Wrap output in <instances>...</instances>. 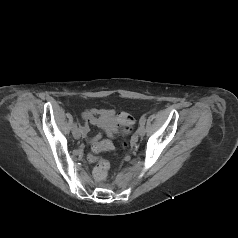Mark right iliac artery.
Wrapping results in <instances>:
<instances>
[{
    "instance_id": "obj_1",
    "label": "right iliac artery",
    "mask_w": 238,
    "mask_h": 238,
    "mask_svg": "<svg viewBox=\"0 0 238 238\" xmlns=\"http://www.w3.org/2000/svg\"><path fill=\"white\" fill-rule=\"evenodd\" d=\"M72 129H73V130L77 129V122H75V123L73 124Z\"/></svg>"
}]
</instances>
